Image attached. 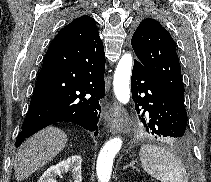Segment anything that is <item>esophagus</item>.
I'll return each instance as SVG.
<instances>
[{
    "label": "esophagus",
    "mask_w": 211,
    "mask_h": 182,
    "mask_svg": "<svg viewBox=\"0 0 211 182\" xmlns=\"http://www.w3.org/2000/svg\"><path fill=\"white\" fill-rule=\"evenodd\" d=\"M114 109H121L119 105H114ZM109 121V124L112 125V122L110 120V118L107 119Z\"/></svg>",
    "instance_id": "obj_1"
}]
</instances>
